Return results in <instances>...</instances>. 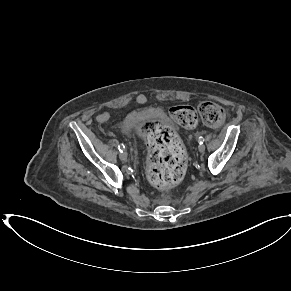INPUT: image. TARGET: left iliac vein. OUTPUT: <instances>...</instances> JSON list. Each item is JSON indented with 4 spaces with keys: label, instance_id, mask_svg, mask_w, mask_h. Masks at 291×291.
<instances>
[{
    "label": "left iliac vein",
    "instance_id": "obj_1",
    "mask_svg": "<svg viewBox=\"0 0 291 291\" xmlns=\"http://www.w3.org/2000/svg\"><path fill=\"white\" fill-rule=\"evenodd\" d=\"M198 150L202 153V152H204L205 151V145L204 144H200L199 146H198Z\"/></svg>",
    "mask_w": 291,
    "mask_h": 291
}]
</instances>
